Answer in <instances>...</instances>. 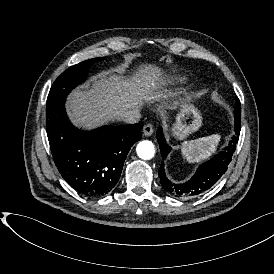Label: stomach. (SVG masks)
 I'll list each match as a JSON object with an SVG mask.
<instances>
[{"instance_id": "0dacf381", "label": "stomach", "mask_w": 274, "mask_h": 274, "mask_svg": "<svg viewBox=\"0 0 274 274\" xmlns=\"http://www.w3.org/2000/svg\"><path fill=\"white\" fill-rule=\"evenodd\" d=\"M185 103L180 106L176 114L175 123L172 124L171 130L175 138L185 139L190 133L197 131L202 125V116L200 111L191 103L192 95L186 97Z\"/></svg>"}]
</instances>
